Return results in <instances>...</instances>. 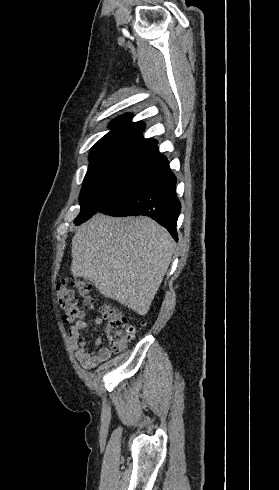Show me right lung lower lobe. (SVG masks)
<instances>
[{"label": "right lung lower lobe", "instance_id": "98d812e1", "mask_svg": "<svg viewBox=\"0 0 279 490\" xmlns=\"http://www.w3.org/2000/svg\"><path fill=\"white\" fill-rule=\"evenodd\" d=\"M160 168L137 184L126 186L104 201L99 212L111 216L145 215L164 226L177 241L176 224L181 211L175 187L176 176L169 162L159 163Z\"/></svg>", "mask_w": 279, "mask_h": 490}]
</instances>
